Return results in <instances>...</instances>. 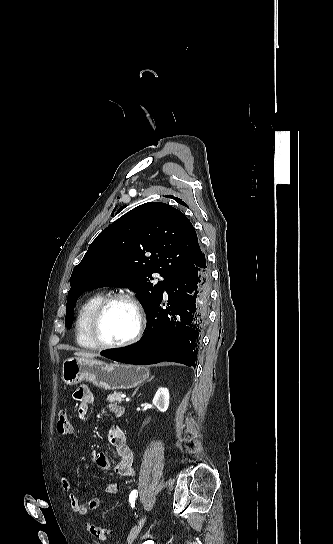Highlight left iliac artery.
Wrapping results in <instances>:
<instances>
[{
	"mask_svg": "<svg viewBox=\"0 0 333 544\" xmlns=\"http://www.w3.org/2000/svg\"><path fill=\"white\" fill-rule=\"evenodd\" d=\"M137 496H138V491H137V490H133V491L130 493L129 502H130L132 508L135 507V500H136V497H137Z\"/></svg>",
	"mask_w": 333,
	"mask_h": 544,
	"instance_id": "44dca946",
	"label": "left iliac artery"
}]
</instances>
